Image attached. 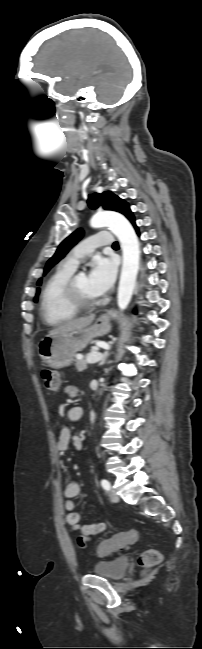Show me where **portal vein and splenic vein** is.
<instances>
[{
    "label": "portal vein and splenic vein",
    "instance_id": "18ae733b",
    "mask_svg": "<svg viewBox=\"0 0 202 649\" xmlns=\"http://www.w3.org/2000/svg\"><path fill=\"white\" fill-rule=\"evenodd\" d=\"M101 359H102V355H99V354H97L96 352H93L92 354H90V355L86 358V361H87V363H89V364H96V363L99 362Z\"/></svg>",
    "mask_w": 202,
    "mask_h": 649
}]
</instances>
